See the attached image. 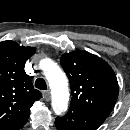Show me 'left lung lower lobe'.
I'll use <instances>...</instances> for the list:
<instances>
[{
    "instance_id": "0a47b994",
    "label": "left lung lower lobe",
    "mask_w": 130,
    "mask_h": 130,
    "mask_svg": "<svg viewBox=\"0 0 130 130\" xmlns=\"http://www.w3.org/2000/svg\"><path fill=\"white\" fill-rule=\"evenodd\" d=\"M105 119L86 110L70 107L63 117H57L55 125L58 130H96Z\"/></svg>"
}]
</instances>
